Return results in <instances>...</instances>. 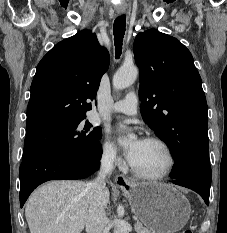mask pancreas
I'll use <instances>...</instances> for the list:
<instances>
[{
	"label": "pancreas",
	"instance_id": "cf45deb5",
	"mask_svg": "<svg viewBox=\"0 0 227 233\" xmlns=\"http://www.w3.org/2000/svg\"><path fill=\"white\" fill-rule=\"evenodd\" d=\"M135 230L138 232V233H152L150 232L148 229H146L145 227L142 226V224L140 222H137L135 225Z\"/></svg>",
	"mask_w": 227,
	"mask_h": 233
}]
</instances>
